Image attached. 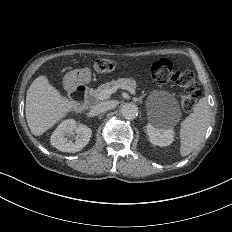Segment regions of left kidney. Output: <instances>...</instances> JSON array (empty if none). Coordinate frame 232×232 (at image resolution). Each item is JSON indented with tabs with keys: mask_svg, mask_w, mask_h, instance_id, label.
I'll return each instance as SVG.
<instances>
[{
	"mask_svg": "<svg viewBox=\"0 0 232 232\" xmlns=\"http://www.w3.org/2000/svg\"><path fill=\"white\" fill-rule=\"evenodd\" d=\"M146 132L152 144L158 146H169L174 140V131L170 126L159 118L152 120L146 126Z\"/></svg>",
	"mask_w": 232,
	"mask_h": 232,
	"instance_id": "5707ae66",
	"label": "left kidney"
}]
</instances>
